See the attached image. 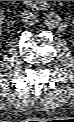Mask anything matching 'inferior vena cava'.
<instances>
[{
  "label": "inferior vena cava",
  "instance_id": "1",
  "mask_svg": "<svg viewBox=\"0 0 74 122\" xmlns=\"http://www.w3.org/2000/svg\"><path fill=\"white\" fill-rule=\"evenodd\" d=\"M36 13L30 10H25L22 13V20L26 23V24H34L36 22Z\"/></svg>",
  "mask_w": 74,
  "mask_h": 122
}]
</instances>
